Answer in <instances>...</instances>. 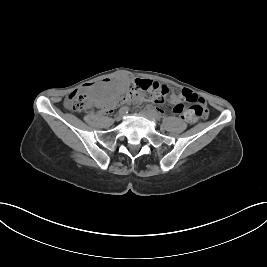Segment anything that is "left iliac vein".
<instances>
[{"label":"left iliac vein","mask_w":267,"mask_h":267,"mask_svg":"<svg viewBox=\"0 0 267 267\" xmlns=\"http://www.w3.org/2000/svg\"><path fill=\"white\" fill-rule=\"evenodd\" d=\"M141 115L148 118V119H155L148 111L143 110L141 111Z\"/></svg>","instance_id":"obj_1"}]
</instances>
